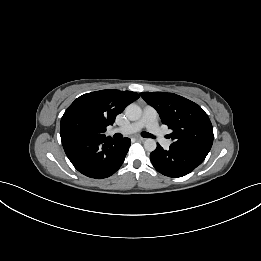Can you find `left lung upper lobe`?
Returning a JSON list of instances; mask_svg holds the SVG:
<instances>
[{"mask_svg":"<svg viewBox=\"0 0 261 261\" xmlns=\"http://www.w3.org/2000/svg\"><path fill=\"white\" fill-rule=\"evenodd\" d=\"M140 95L157 110L162 123L173 130L172 144L210 151L213 127L199 105L174 93L142 92Z\"/></svg>","mask_w":261,"mask_h":261,"instance_id":"obj_1","label":"left lung upper lobe"}]
</instances>
